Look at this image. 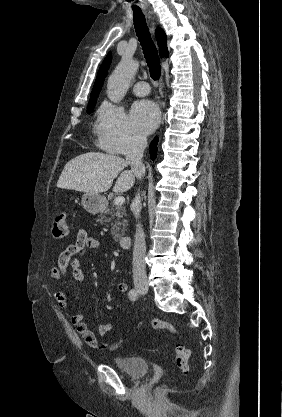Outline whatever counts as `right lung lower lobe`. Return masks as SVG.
I'll list each match as a JSON object with an SVG mask.
<instances>
[{"label":"right lung lower lobe","mask_w":282,"mask_h":417,"mask_svg":"<svg viewBox=\"0 0 282 417\" xmlns=\"http://www.w3.org/2000/svg\"><path fill=\"white\" fill-rule=\"evenodd\" d=\"M157 142H158V138L155 137L150 144V157H151L152 160H154L157 156V147H156Z\"/></svg>","instance_id":"right-lung-lower-lobe-1"}]
</instances>
